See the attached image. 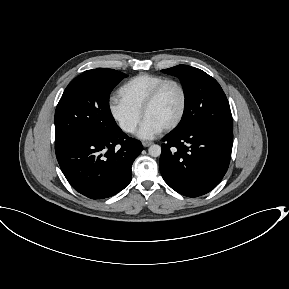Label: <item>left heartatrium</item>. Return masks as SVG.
I'll use <instances>...</instances> for the list:
<instances>
[{
  "mask_svg": "<svg viewBox=\"0 0 289 289\" xmlns=\"http://www.w3.org/2000/svg\"><path fill=\"white\" fill-rule=\"evenodd\" d=\"M162 130V126L152 120L144 118L138 131V137L141 139H151L158 135Z\"/></svg>",
  "mask_w": 289,
  "mask_h": 289,
  "instance_id": "left-heart-atrium-1",
  "label": "left heart atrium"
}]
</instances>
